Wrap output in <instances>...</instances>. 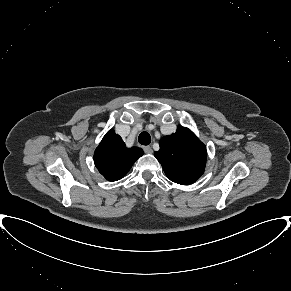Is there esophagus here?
Returning <instances> with one entry per match:
<instances>
[{
    "instance_id": "obj_1",
    "label": "esophagus",
    "mask_w": 291,
    "mask_h": 291,
    "mask_svg": "<svg viewBox=\"0 0 291 291\" xmlns=\"http://www.w3.org/2000/svg\"><path fill=\"white\" fill-rule=\"evenodd\" d=\"M143 149H144V152L147 154H150L153 152V150L150 146H144Z\"/></svg>"
}]
</instances>
